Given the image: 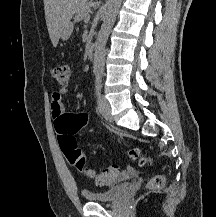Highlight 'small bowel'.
<instances>
[{"mask_svg": "<svg viewBox=\"0 0 216 217\" xmlns=\"http://www.w3.org/2000/svg\"><path fill=\"white\" fill-rule=\"evenodd\" d=\"M67 93L68 90L66 88H60L54 91L51 95L50 110H51V116L54 119L55 127L58 121L61 119V117L64 116L65 109L63 106L62 99ZM132 173H134V169L132 167H127L123 175L128 176Z\"/></svg>", "mask_w": 216, "mask_h": 217, "instance_id": "c3829d8e", "label": "small bowel"}]
</instances>
